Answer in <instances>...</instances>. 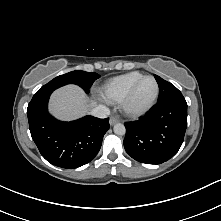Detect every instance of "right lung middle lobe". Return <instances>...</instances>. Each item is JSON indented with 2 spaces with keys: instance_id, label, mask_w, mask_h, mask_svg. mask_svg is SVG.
<instances>
[{
  "instance_id": "dd1d6c3e",
  "label": "right lung middle lobe",
  "mask_w": 221,
  "mask_h": 221,
  "mask_svg": "<svg viewBox=\"0 0 221 221\" xmlns=\"http://www.w3.org/2000/svg\"><path fill=\"white\" fill-rule=\"evenodd\" d=\"M99 77L100 75L94 72L72 71L54 78L49 83L42 86L35 95L53 92L55 89L66 84H76L88 93L93 82Z\"/></svg>"
}]
</instances>
